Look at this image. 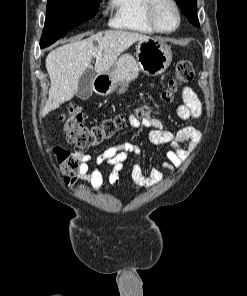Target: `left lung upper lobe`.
I'll use <instances>...</instances> for the list:
<instances>
[{
  "label": "left lung upper lobe",
  "instance_id": "5c2ea615",
  "mask_svg": "<svg viewBox=\"0 0 247 296\" xmlns=\"http://www.w3.org/2000/svg\"><path fill=\"white\" fill-rule=\"evenodd\" d=\"M188 20L195 26L199 27V21L196 14V0H175Z\"/></svg>",
  "mask_w": 247,
  "mask_h": 296
}]
</instances>
